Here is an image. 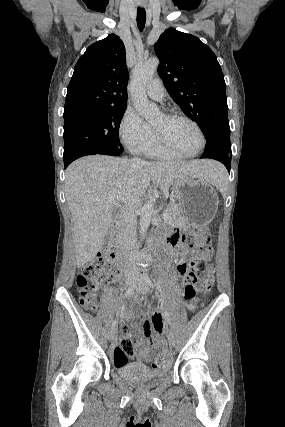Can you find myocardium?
Listing matches in <instances>:
<instances>
[{
	"label": "myocardium",
	"mask_w": 285,
	"mask_h": 427,
	"mask_svg": "<svg viewBox=\"0 0 285 427\" xmlns=\"http://www.w3.org/2000/svg\"><path fill=\"white\" fill-rule=\"evenodd\" d=\"M163 115L166 118L169 119H179V120H183L186 121L188 123H190L198 132L199 137H200V146L198 148L197 151L193 152V153H186L183 152L181 150H179L174 144H172L162 133H160L156 128L154 129V132L156 134L157 140L158 142L168 151L173 152L181 157H195L198 154H200L202 152V150L205 148L206 146V138L204 135V132L201 128V126L192 118L181 114V113H177V112H165L163 113Z\"/></svg>",
	"instance_id": "myocardium-1"
}]
</instances>
